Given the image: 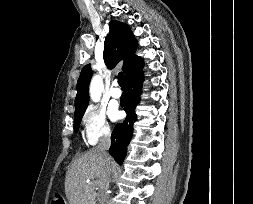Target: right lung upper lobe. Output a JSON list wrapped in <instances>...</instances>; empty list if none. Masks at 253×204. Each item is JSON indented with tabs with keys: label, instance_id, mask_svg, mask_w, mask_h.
<instances>
[{
	"label": "right lung upper lobe",
	"instance_id": "1",
	"mask_svg": "<svg viewBox=\"0 0 253 204\" xmlns=\"http://www.w3.org/2000/svg\"><path fill=\"white\" fill-rule=\"evenodd\" d=\"M109 28V34L106 36L104 42V61L112 69L123 60L122 70L126 76L141 60V57L135 56L137 42L132 31L125 23L110 21ZM91 76V67L90 65H86L82 69L77 82L75 116L87 108L89 99L88 88Z\"/></svg>",
	"mask_w": 253,
	"mask_h": 204
}]
</instances>
